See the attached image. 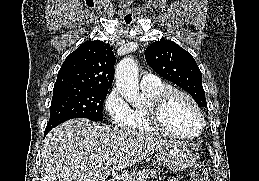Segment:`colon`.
I'll return each mask as SVG.
<instances>
[{"label":"colon","instance_id":"1","mask_svg":"<svg viewBox=\"0 0 259 181\" xmlns=\"http://www.w3.org/2000/svg\"><path fill=\"white\" fill-rule=\"evenodd\" d=\"M190 181H207V169L204 164H196L192 168Z\"/></svg>","mask_w":259,"mask_h":181}]
</instances>
